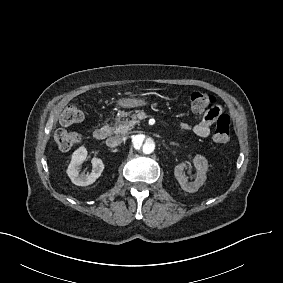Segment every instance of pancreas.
<instances>
[{"mask_svg": "<svg viewBox=\"0 0 283 283\" xmlns=\"http://www.w3.org/2000/svg\"><path fill=\"white\" fill-rule=\"evenodd\" d=\"M123 117H126V119H123ZM137 123H139V120L137 119L136 114L130 115L128 112H121V114L115 120L112 131L115 134L125 135Z\"/></svg>", "mask_w": 283, "mask_h": 283, "instance_id": "cf45deb5", "label": "pancreas"}]
</instances>
